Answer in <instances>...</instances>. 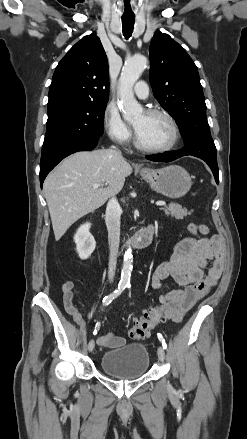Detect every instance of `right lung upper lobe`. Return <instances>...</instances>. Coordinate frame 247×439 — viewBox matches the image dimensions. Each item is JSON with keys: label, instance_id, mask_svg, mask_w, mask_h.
Segmentation results:
<instances>
[{"label": "right lung upper lobe", "instance_id": "cb5924a9", "mask_svg": "<svg viewBox=\"0 0 247 439\" xmlns=\"http://www.w3.org/2000/svg\"><path fill=\"white\" fill-rule=\"evenodd\" d=\"M108 62L100 39L90 34L76 43L57 65L48 105L65 100L107 102Z\"/></svg>", "mask_w": 247, "mask_h": 439}]
</instances>
